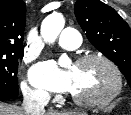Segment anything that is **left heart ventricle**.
Segmentation results:
<instances>
[{
	"label": "left heart ventricle",
	"instance_id": "obj_1",
	"mask_svg": "<svg viewBox=\"0 0 131 115\" xmlns=\"http://www.w3.org/2000/svg\"><path fill=\"white\" fill-rule=\"evenodd\" d=\"M73 74L72 94L79 98H103L115 87L112 70L103 62L93 60L71 66Z\"/></svg>",
	"mask_w": 131,
	"mask_h": 115
}]
</instances>
